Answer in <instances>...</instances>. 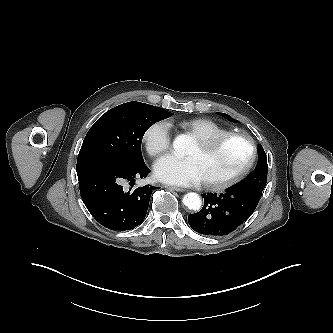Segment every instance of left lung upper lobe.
Wrapping results in <instances>:
<instances>
[{
	"label": "left lung upper lobe",
	"mask_w": 333,
	"mask_h": 333,
	"mask_svg": "<svg viewBox=\"0 0 333 333\" xmlns=\"http://www.w3.org/2000/svg\"><path fill=\"white\" fill-rule=\"evenodd\" d=\"M220 115L227 118L229 121L236 122V120H234L231 116L225 113H220ZM257 151L258 162L255 170L244 181L234 185V188L262 194V191L264 190L267 182L268 165L266 154L261 145L257 146Z\"/></svg>",
	"instance_id": "5c2ea615"
}]
</instances>
